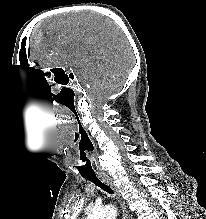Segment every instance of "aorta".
<instances>
[{
    "label": "aorta",
    "mask_w": 206,
    "mask_h": 219,
    "mask_svg": "<svg viewBox=\"0 0 206 219\" xmlns=\"http://www.w3.org/2000/svg\"><path fill=\"white\" fill-rule=\"evenodd\" d=\"M116 210L113 206H105L99 209H93L87 219H115Z\"/></svg>",
    "instance_id": "obj_1"
}]
</instances>
